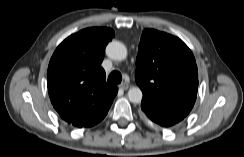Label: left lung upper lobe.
I'll list each match as a JSON object with an SVG mask.
<instances>
[{
  "instance_id": "obj_1",
  "label": "left lung upper lobe",
  "mask_w": 244,
  "mask_h": 157,
  "mask_svg": "<svg viewBox=\"0 0 244 157\" xmlns=\"http://www.w3.org/2000/svg\"><path fill=\"white\" fill-rule=\"evenodd\" d=\"M135 79L143 92L141 109L162 127L182 121L197 97L195 58L179 38L154 29L142 33Z\"/></svg>"
}]
</instances>
